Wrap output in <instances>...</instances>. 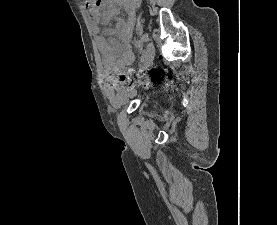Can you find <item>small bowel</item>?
I'll return each instance as SVG.
<instances>
[{
	"mask_svg": "<svg viewBox=\"0 0 277 225\" xmlns=\"http://www.w3.org/2000/svg\"><path fill=\"white\" fill-rule=\"evenodd\" d=\"M138 5L139 0H107L104 4H88L91 24L98 33L97 43L104 62L105 93L114 104L122 102L127 95L125 88L115 86L113 73L123 66L132 65L135 61L129 38ZM119 8L125 10L127 19L117 17ZM112 19H115L114 28L100 31V25H108Z\"/></svg>",
	"mask_w": 277,
	"mask_h": 225,
	"instance_id": "1",
	"label": "small bowel"
}]
</instances>
